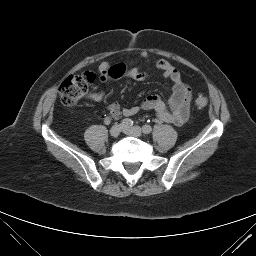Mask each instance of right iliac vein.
<instances>
[{
    "mask_svg": "<svg viewBox=\"0 0 256 256\" xmlns=\"http://www.w3.org/2000/svg\"><path fill=\"white\" fill-rule=\"evenodd\" d=\"M123 129V126L121 124H116L114 126H112V128L110 129V135L112 137H118L121 133Z\"/></svg>",
    "mask_w": 256,
    "mask_h": 256,
    "instance_id": "1",
    "label": "right iliac vein"
}]
</instances>
